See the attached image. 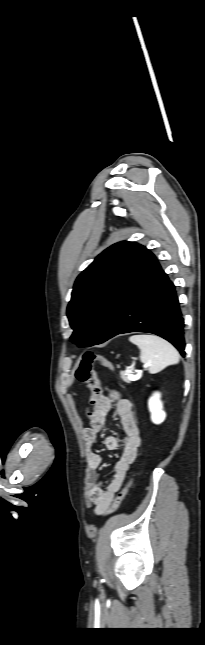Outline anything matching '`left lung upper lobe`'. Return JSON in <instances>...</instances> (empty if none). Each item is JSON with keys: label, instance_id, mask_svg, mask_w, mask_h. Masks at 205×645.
I'll return each instance as SVG.
<instances>
[{"label": "left lung upper lobe", "instance_id": "5c2ea615", "mask_svg": "<svg viewBox=\"0 0 205 645\" xmlns=\"http://www.w3.org/2000/svg\"><path fill=\"white\" fill-rule=\"evenodd\" d=\"M142 248L134 242L116 243L78 276L67 308L74 330L70 339L75 344L92 346L105 341L120 293Z\"/></svg>", "mask_w": 205, "mask_h": 645}]
</instances>
